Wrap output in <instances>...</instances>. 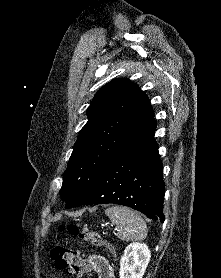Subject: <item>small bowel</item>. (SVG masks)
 Returning <instances> with one entry per match:
<instances>
[{"instance_id":"c3829d8e","label":"small bowel","mask_w":221,"mask_h":278,"mask_svg":"<svg viewBox=\"0 0 221 278\" xmlns=\"http://www.w3.org/2000/svg\"><path fill=\"white\" fill-rule=\"evenodd\" d=\"M82 261L86 270L94 271L97 278H115L114 270L105 257L92 254L83 256Z\"/></svg>"}]
</instances>
